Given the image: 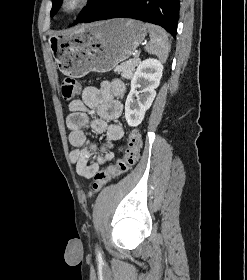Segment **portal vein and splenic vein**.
<instances>
[{
  "label": "portal vein and splenic vein",
  "mask_w": 247,
  "mask_h": 280,
  "mask_svg": "<svg viewBox=\"0 0 247 280\" xmlns=\"http://www.w3.org/2000/svg\"><path fill=\"white\" fill-rule=\"evenodd\" d=\"M138 56H139V55H138V53L136 52L134 57H138Z\"/></svg>",
  "instance_id": "portal-vein-and-splenic-vein-1"
}]
</instances>
